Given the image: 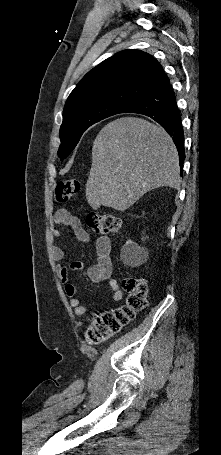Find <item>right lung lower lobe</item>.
I'll use <instances>...</instances> for the list:
<instances>
[{
  "label": "right lung lower lobe",
  "mask_w": 221,
  "mask_h": 455,
  "mask_svg": "<svg viewBox=\"0 0 221 455\" xmlns=\"http://www.w3.org/2000/svg\"><path fill=\"white\" fill-rule=\"evenodd\" d=\"M122 113L143 114L158 122L172 137L177 147L182 172L185 150L181 115L165 73L160 75L143 97L126 107Z\"/></svg>",
  "instance_id": "obj_1"
}]
</instances>
